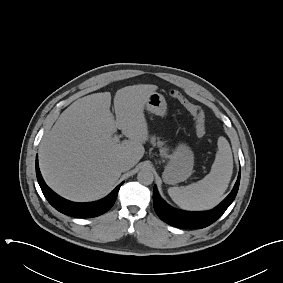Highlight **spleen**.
I'll use <instances>...</instances> for the list:
<instances>
[{
    "instance_id": "spleen-1",
    "label": "spleen",
    "mask_w": 283,
    "mask_h": 283,
    "mask_svg": "<svg viewBox=\"0 0 283 283\" xmlns=\"http://www.w3.org/2000/svg\"><path fill=\"white\" fill-rule=\"evenodd\" d=\"M218 151L211 171L202 180L183 187H170L171 199L185 210L199 211L215 207L223 198L233 172V156L229 142L218 139Z\"/></svg>"
}]
</instances>
